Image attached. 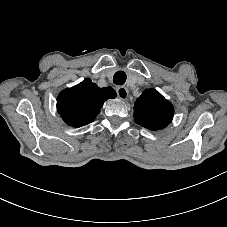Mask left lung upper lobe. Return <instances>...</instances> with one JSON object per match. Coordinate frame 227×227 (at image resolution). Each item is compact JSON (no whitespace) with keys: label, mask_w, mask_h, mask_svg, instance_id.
<instances>
[{"label":"left lung upper lobe","mask_w":227,"mask_h":227,"mask_svg":"<svg viewBox=\"0 0 227 227\" xmlns=\"http://www.w3.org/2000/svg\"><path fill=\"white\" fill-rule=\"evenodd\" d=\"M173 115L172 104L155 89L145 90L135 103V122L149 130L165 128Z\"/></svg>","instance_id":"obj_1"}]
</instances>
